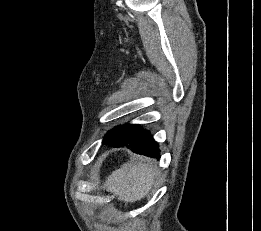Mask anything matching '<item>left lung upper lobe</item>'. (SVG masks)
Here are the masks:
<instances>
[{"instance_id": "5c2ea615", "label": "left lung upper lobe", "mask_w": 261, "mask_h": 231, "mask_svg": "<svg viewBox=\"0 0 261 231\" xmlns=\"http://www.w3.org/2000/svg\"><path fill=\"white\" fill-rule=\"evenodd\" d=\"M150 133L147 130L142 129L137 124H126L121 127H115L110 131L104 138L103 144H110L112 142H117L125 138H134V139H144Z\"/></svg>"}]
</instances>
